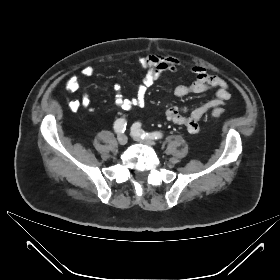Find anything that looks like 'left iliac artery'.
<instances>
[{
  "mask_svg": "<svg viewBox=\"0 0 280 280\" xmlns=\"http://www.w3.org/2000/svg\"><path fill=\"white\" fill-rule=\"evenodd\" d=\"M131 130L135 132L137 135H139L142 139L151 138V139L158 140L163 138V134L161 132H152V133L145 132L141 128V123L139 122L134 123L131 127Z\"/></svg>",
  "mask_w": 280,
  "mask_h": 280,
  "instance_id": "44dca946",
  "label": "left iliac artery"
}]
</instances>
